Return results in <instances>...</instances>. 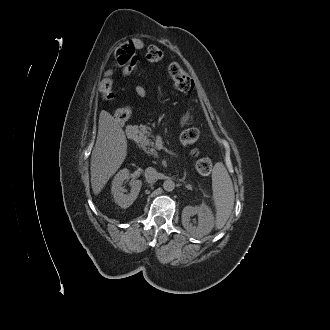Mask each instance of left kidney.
<instances>
[{
  "mask_svg": "<svg viewBox=\"0 0 330 330\" xmlns=\"http://www.w3.org/2000/svg\"><path fill=\"white\" fill-rule=\"evenodd\" d=\"M198 215V225L193 226L190 223V217ZM182 225L191 234V236L196 238H201L211 232L214 227V215L211 209L205 205L200 206H186L182 211Z\"/></svg>",
  "mask_w": 330,
  "mask_h": 330,
  "instance_id": "5707ae66",
  "label": "left kidney"
}]
</instances>
